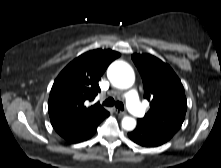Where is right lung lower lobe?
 <instances>
[{"label":"right lung lower lobe","instance_id":"obj_1","mask_svg":"<svg viewBox=\"0 0 221 168\" xmlns=\"http://www.w3.org/2000/svg\"><path fill=\"white\" fill-rule=\"evenodd\" d=\"M107 116H109V112H107L103 118L97 120L94 123L83 124L72 130L58 132V134L62 136L64 139H66L67 141L72 142V143H77V142L87 140L95 134L97 126Z\"/></svg>","mask_w":221,"mask_h":168}]
</instances>
